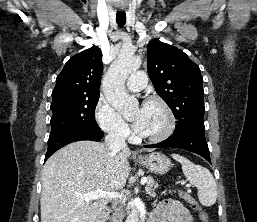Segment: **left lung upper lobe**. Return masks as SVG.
I'll return each instance as SVG.
<instances>
[{
  "mask_svg": "<svg viewBox=\"0 0 257 222\" xmlns=\"http://www.w3.org/2000/svg\"><path fill=\"white\" fill-rule=\"evenodd\" d=\"M148 74L157 94L169 105L174 133L204 127L203 79L198 65L180 49L153 39L148 43Z\"/></svg>",
  "mask_w": 257,
  "mask_h": 222,
  "instance_id": "obj_1",
  "label": "left lung upper lobe"
}]
</instances>
